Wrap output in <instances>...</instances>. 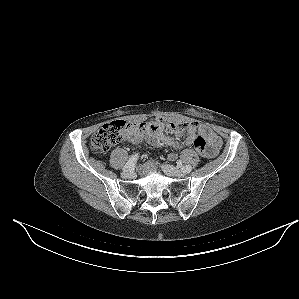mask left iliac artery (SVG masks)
I'll return each mask as SVG.
<instances>
[{
	"mask_svg": "<svg viewBox=\"0 0 299 299\" xmlns=\"http://www.w3.org/2000/svg\"><path fill=\"white\" fill-rule=\"evenodd\" d=\"M183 169L186 173H189V172H191L192 167L190 165H186Z\"/></svg>",
	"mask_w": 299,
	"mask_h": 299,
	"instance_id": "1",
	"label": "left iliac artery"
}]
</instances>
